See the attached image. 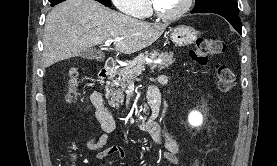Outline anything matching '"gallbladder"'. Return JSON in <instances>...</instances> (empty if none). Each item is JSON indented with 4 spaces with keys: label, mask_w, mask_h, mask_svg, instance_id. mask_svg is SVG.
Listing matches in <instances>:
<instances>
[{
    "label": "gallbladder",
    "mask_w": 277,
    "mask_h": 166,
    "mask_svg": "<svg viewBox=\"0 0 277 166\" xmlns=\"http://www.w3.org/2000/svg\"><path fill=\"white\" fill-rule=\"evenodd\" d=\"M80 57L84 59H101V53L93 49H88L81 51Z\"/></svg>",
    "instance_id": "1"
}]
</instances>
